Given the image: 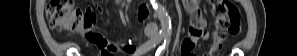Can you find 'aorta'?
<instances>
[{
	"label": "aorta",
	"mask_w": 297,
	"mask_h": 56,
	"mask_svg": "<svg viewBox=\"0 0 297 56\" xmlns=\"http://www.w3.org/2000/svg\"><path fill=\"white\" fill-rule=\"evenodd\" d=\"M153 8L156 16L161 23V31L165 34L171 33V19L166 11V9L159 4L156 0H153Z\"/></svg>",
	"instance_id": "1"
}]
</instances>
